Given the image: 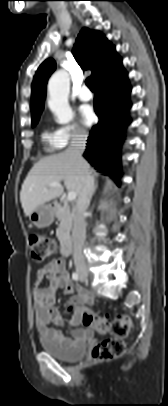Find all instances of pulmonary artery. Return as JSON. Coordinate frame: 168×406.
<instances>
[{
  "label": "pulmonary artery",
  "mask_w": 168,
  "mask_h": 406,
  "mask_svg": "<svg viewBox=\"0 0 168 406\" xmlns=\"http://www.w3.org/2000/svg\"><path fill=\"white\" fill-rule=\"evenodd\" d=\"M78 98L81 101H90L92 99V93L86 86H82L78 91Z\"/></svg>",
  "instance_id": "1"
}]
</instances>
